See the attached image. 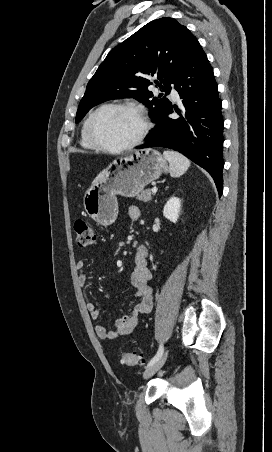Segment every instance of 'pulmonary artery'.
I'll return each mask as SVG.
<instances>
[{
    "mask_svg": "<svg viewBox=\"0 0 272 452\" xmlns=\"http://www.w3.org/2000/svg\"><path fill=\"white\" fill-rule=\"evenodd\" d=\"M171 95L173 98H177L178 97V93L176 90H171Z\"/></svg>",
    "mask_w": 272,
    "mask_h": 452,
    "instance_id": "pulmonary-artery-1",
    "label": "pulmonary artery"
}]
</instances>
